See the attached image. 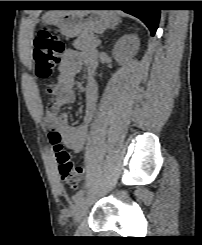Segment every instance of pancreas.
Segmentation results:
<instances>
[{
	"label": "pancreas",
	"instance_id": "obj_1",
	"mask_svg": "<svg viewBox=\"0 0 202 245\" xmlns=\"http://www.w3.org/2000/svg\"><path fill=\"white\" fill-rule=\"evenodd\" d=\"M100 44L97 42V36L92 33L81 34L73 43L76 49L86 51L95 49Z\"/></svg>",
	"mask_w": 202,
	"mask_h": 245
}]
</instances>
